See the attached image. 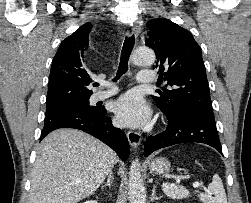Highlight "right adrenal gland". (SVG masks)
<instances>
[{"instance_id":"obj_1","label":"right adrenal gland","mask_w":251,"mask_h":203,"mask_svg":"<svg viewBox=\"0 0 251 203\" xmlns=\"http://www.w3.org/2000/svg\"><path fill=\"white\" fill-rule=\"evenodd\" d=\"M113 179H114V176H113L112 173H110L109 176H108V178H107V183H105L104 185H102L101 189L106 188V187L111 188V183H112Z\"/></svg>"}]
</instances>
